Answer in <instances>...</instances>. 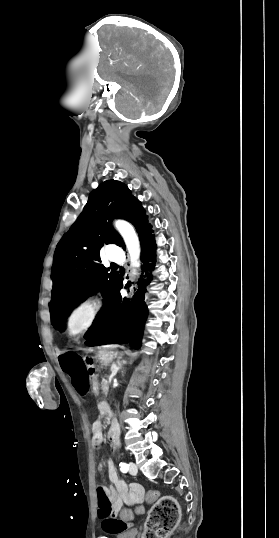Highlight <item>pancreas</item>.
Segmentation results:
<instances>
[{"label":"pancreas","mask_w":279,"mask_h":538,"mask_svg":"<svg viewBox=\"0 0 279 538\" xmlns=\"http://www.w3.org/2000/svg\"><path fill=\"white\" fill-rule=\"evenodd\" d=\"M102 387V391L104 393H107L109 391V388H111V381H109L108 379L103 380Z\"/></svg>","instance_id":"pancreas-1"}]
</instances>
